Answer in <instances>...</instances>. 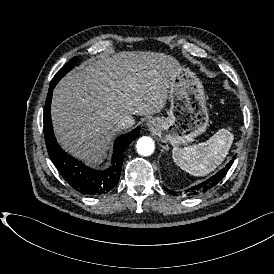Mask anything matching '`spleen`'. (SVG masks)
Returning <instances> with one entry per match:
<instances>
[{
    "mask_svg": "<svg viewBox=\"0 0 274 274\" xmlns=\"http://www.w3.org/2000/svg\"><path fill=\"white\" fill-rule=\"evenodd\" d=\"M229 129L218 130L209 140L185 148L174 147L172 157L177 165L193 176L214 171L227 156L234 136Z\"/></svg>",
    "mask_w": 274,
    "mask_h": 274,
    "instance_id": "1",
    "label": "spleen"
}]
</instances>
